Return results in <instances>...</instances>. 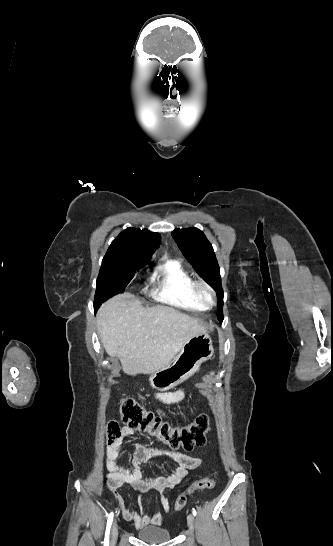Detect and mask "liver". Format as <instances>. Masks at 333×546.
I'll return each mask as SVG.
<instances>
[{"label": "liver", "instance_id": "1", "mask_svg": "<svg viewBox=\"0 0 333 546\" xmlns=\"http://www.w3.org/2000/svg\"><path fill=\"white\" fill-rule=\"evenodd\" d=\"M96 323L107 354L117 356L124 373L131 376L164 368L190 338L206 331L198 319L174 308L142 307L131 293L105 302Z\"/></svg>", "mask_w": 333, "mask_h": 546}]
</instances>
